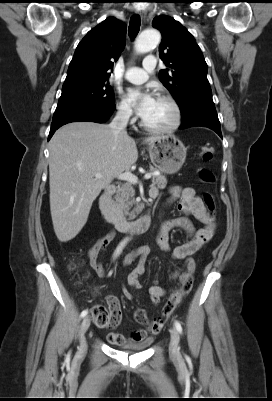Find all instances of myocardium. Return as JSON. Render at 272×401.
Returning <instances> with one entry per match:
<instances>
[{"label":"myocardium","instance_id":"obj_1","mask_svg":"<svg viewBox=\"0 0 272 401\" xmlns=\"http://www.w3.org/2000/svg\"><path fill=\"white\" fill-rule=\"evenodd\" d=\"M157 98L162 99L167 101L172 109H173V120L172 122L165 127H152L147 125L143 119H141L140 121V126L143 130L149 132V133H154V134H165V133H171L175 130H177L182 122V110L181 107L178 103V101L170 94H165V93H161L157 96Z\"/></svg>","mask_w":272,"mask_h":401}]
</instances>
